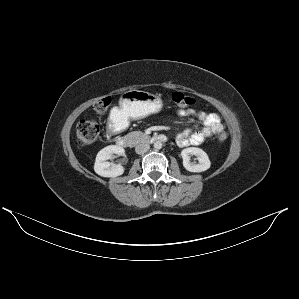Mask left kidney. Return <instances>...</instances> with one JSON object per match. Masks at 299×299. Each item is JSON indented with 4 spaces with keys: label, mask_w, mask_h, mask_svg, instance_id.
Instances as JSON below:
<instances>
[{
    "label": "left kidney",
    "mask_w": 299,
    "mask_h": 299,
    "mask_svg": "<svg viewBox=\"0 0 299 299\" xmlns=\"http://www.w3.org/2000/svg\"><path fill=\"white\" fill-rule=\"evenodd\" d=\"M197 156L198 164L190 162V156ZM183 158V166L190 172H203L210 168L211 162L205 151L196 147L185 148L181 152Z\"/></svg>",
    "instance_id": "left-kidney-1"
}]
</instances>
